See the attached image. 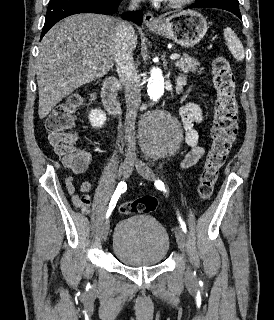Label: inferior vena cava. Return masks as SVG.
Wrapping results in <instances>:
<instances>
[{
    "label": "inferior vena cava",
    "instance_id": "1",
    "mask_svg": "<svg viewBox=\"0 0 274 320\" xmlns=\"http://www.w3.org/2000/svg\"><path fill=\"white\" fill-rule=\"evenodd\" d=\"M139 2L143 0H131L129 10H135L138 8ZM115 38V64L116 72L124 86L125 100H126V134L130 132L135 124L137 118V112L141 104V86L140 78L136 72L133 50L134 44L137 40L135 30L129 22H123L120 20L117 26L114 28ZM129 148H135L132 142L128 144Z\"/></svg>",
    "mask_w": 274,
    "mask_h": 320
}]
</instances>
